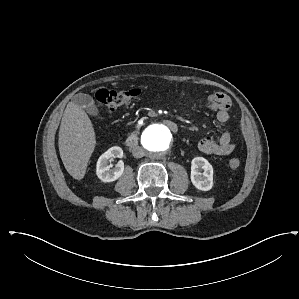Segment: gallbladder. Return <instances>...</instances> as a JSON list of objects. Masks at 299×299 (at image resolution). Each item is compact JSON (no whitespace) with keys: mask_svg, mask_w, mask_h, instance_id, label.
<instances>
[{"mask_svg":"<svg viewBox=\"0 0 299 299\" xmlns=\"http://www.w3.org/2000/svg\"><path fill=\"white\" fill-rule=\"evenodd\" d=\"M73 103L82 107L89 115L97 117L99 110L96 107L93 98L88 94L79 93L73 97Z\"/></svg>","mask_w":299,"mask_h":299,"instance_id":"obj_1","label":"gallbladder"}]
</instances>
